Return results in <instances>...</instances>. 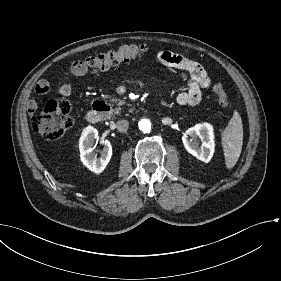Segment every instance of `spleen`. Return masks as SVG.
<instances>
[{
	"label": "spleen",
	"instance_id": "1",
	"mask_svg": "<svg viewBox=\"0 0 281 281\" xmlns=\"http://www.w3.org/2000/svg\"><path fill=\"white\" fill-rule=\"evenodd\" d=\"M243 145V124L237 111H234L233 117L228 126L222 132V146L225 156L226 167L233 168L242 151Z\"/></svg>",
	"mask_w": 281,
	"mask_h": 281
}]
</instances>
